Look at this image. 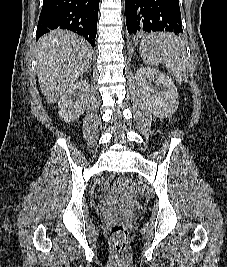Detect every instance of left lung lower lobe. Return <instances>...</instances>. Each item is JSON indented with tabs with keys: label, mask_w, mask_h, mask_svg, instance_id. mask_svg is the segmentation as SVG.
Returning <instances> with one entry per match:
<instances>
[{
	"label": "left lung lower lobe",
	"mask_w": 227,
	"mask_h": 267,
	"mask_svg": "<svg viewBox=\"0 0 227 267\" xmlns=\"http://www.w3.org/2000/svg\"><path fill=\"white\" fill-rule=\"evenodd\" d=\"M125 13L133 39L145 32L183 33L179 0H125Z\"/></svg>",
	"instance_id": "left-lung-lower-lobe-1"
}]
</instances>
